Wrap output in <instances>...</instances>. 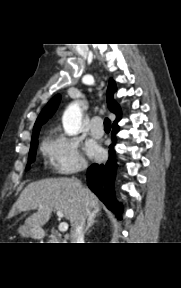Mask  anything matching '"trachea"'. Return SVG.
<instances>
[{
	"mask_svg": "<svg viewBox=\"0 0 181 288\" xmlns=\"http://www.w3.org/2000/svg\"><path fill=\"white\" fill-rule=\"evenodd\" d=\"M111 128V121L108 118H105L104 120V129L106 131H110Z\"/></svg>",
	"mask_w": 181,
	"mask_h": 288,
	"instance_id": "trachea-1",
	"label": "trachea"
}]
</instances>
